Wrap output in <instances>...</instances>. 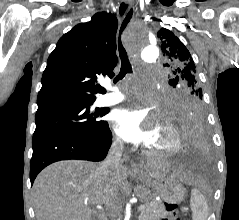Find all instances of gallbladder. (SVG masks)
Wrapping results in <instances>:
<instances>
[{
  "mask_svg": "<svg viewBox=\"0 0 239 220\" xmlns=\"http://www.w3.org/2000/svg\"><path fill=\"white\" fill-rule=\"evenodd\" d=\"M91 220H96V218L93 216V217L91 218Z\"/></svg>",
  "mask_w": 239,
  "mask_h": 220,
  "instance_id": "1",
  "label": "gallbladder"
}]
</instances>
